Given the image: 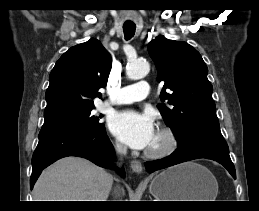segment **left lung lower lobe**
Here are the masks:
<instances>
[{"label":"left lung lower lobe","mask_w":259,"mask_h":211,"mask_svg":"<svg viewBox=\"0 0 259 211\" xmlns=\"http://www.w3.org/2000/svg\"><path fill=\"white\" fill-rule=\"evenodd\" d=\"M198 158H206L219 162L236 179L235 167L229 156V149L222 137L202 134L197 135L186 144L178 146V149L170 156L145 163L149 173L167 168L182 162Z\"/></svg>","instance_id":"left-lung-lower-lobe-1"}]
</instances>
